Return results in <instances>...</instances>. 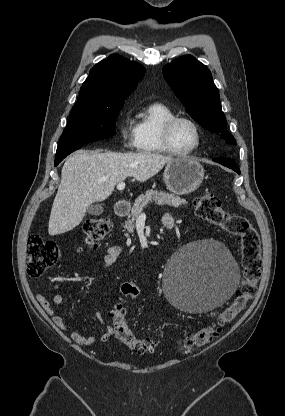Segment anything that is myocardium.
Returning a JSON list of instances; mask_svg holds the SVG:
<instances>
[{
    "label": "myocardium",
    "instance_id": "myocardium-1",
    "mask_svg": "<svg viewBox=\"0 0 285 416\" xmlns=\"http://www.w3.org/2000/svg\"><path fill=\"white\" fill-rule=\"evenodd\" d=\"M181 120L187 121L193 126L196 132V138H197L195 146L185 151L176 149L171 139V133H172V129L174 125L178 121H181ZM161 137H162V142L166 151L174 156L184 157V156L192 155L199 150L202 144V133H201V128L199 124L193 118L187 115H174L170 117L168 120H166L162 126Z\"/></svg>",
    "mask_w": 285,
    "mask_h": 416
}]
</instances>
